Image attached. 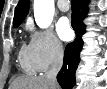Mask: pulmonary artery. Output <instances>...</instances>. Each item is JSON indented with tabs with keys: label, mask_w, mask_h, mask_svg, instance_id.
Returning a JSON list of instances; mask_svg holds the SVG:
<instances>
[{
	"label": "pulmonary artery",
	"mask_w": 107,
	"mask_h": 89,
	"mask_svg": "<svg viewBox=\"0 0 107 89\" xmlns=\"http://www.w3.org/2000/svg\"><path fill=\"white\" fill-rule=\"evenodd\" d=\"M57 6L63 12H66L69 9V4H68V2L66 0H59L57 2Z\"/></svg>",
	"instance_id": "e3ab8cb5"
}]
</instances>
